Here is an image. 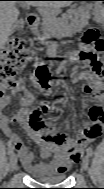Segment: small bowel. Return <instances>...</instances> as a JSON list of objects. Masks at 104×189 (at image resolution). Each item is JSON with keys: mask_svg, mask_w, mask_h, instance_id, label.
Returning a JSON list of instances; mask_svg holds the SVG:
<instances>
[{"mask_svg": "<svg viewBox=\"0 0 104 189\" xmlns=\"http://www.w3.org/2000/svg\"><path fill=\"white\" fill-rule=\"evenodd\" d=\"M74 81L83 82L84 93L93 95L96 101L95 105H100L102 101L103 84L97 72H82ZM8 104L9 97L4 96L0 98L1 109L6 108ZM47 112L48 106L45 103H36L34 97L29 92L24 91L20 100V108L13 116H9L4 112L0 113L1 129L9 139V146L16 149L23 166L32 175H40L43 171H52L56 168L60 169L62 172H66L72 163L79 161L83 150L88 144L98 138L102 132L103 116L94 119L90 109L89 120L86 123V127L77 130L74 138L54 130L51 133V140L45 141L33 129L31 121L32 119H41L48 124L45 119ZM13 123L21 125L34 141L41 144L43 158L41 163H33L34 154L14 132L12 128Z\"/></svg>", "mask_w": 104, "mask_h": 189, "instance_id": "obj_1", "label": "small bowel"}]
</instances>
